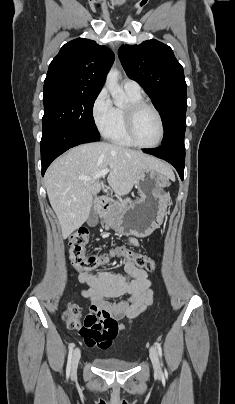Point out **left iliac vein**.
I'll use <instances>...</instances> for the list:
<instances>
[{"label": "left iliac vein", "instance_id": "4c4485c4", "mask_svg": "<svg viewBox=\"0 0 235 404\" xmlns=\"http://www.w3.org/2000/svg\"><path fill=\"white\" fill-rule=\"evenodd\" d=\"M150 359H151L154 371L156 373H160L161 367H160V363H159L158 353H157L156 348L153 346L150 348Z\"/></svg>", "mask_w": 235, "mask_h": 404}]
</instances>
